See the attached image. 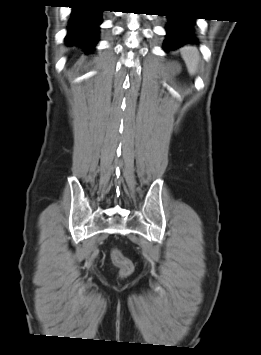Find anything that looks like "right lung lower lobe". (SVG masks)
Returning <instances> with one entry per match:
<instances>
[{"label":"right lung lower lobe","instance_id":"98d812e1","mask_svg":"<svg viewBox=\"0 0 261 355\" xmlns=\"http://www.w3.org/2000/svg\"><path fill=\"white\" fill-rule=\"evenodd\" d=\"M80 6L73 8L72 19L69 24L66 44L82 47L85 53L94 50L98 38L99 24L101 23V9L92 1H84Z\"/></svg>","mask_w":261,"mask_h":355}]
</instances>
